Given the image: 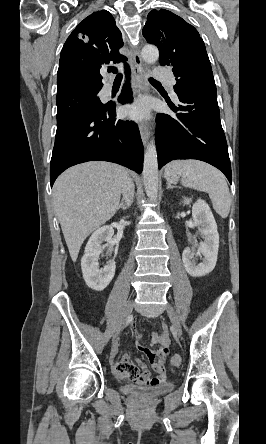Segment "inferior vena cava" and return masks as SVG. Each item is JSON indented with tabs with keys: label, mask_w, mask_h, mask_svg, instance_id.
Listing matches in <instances>:
<instances>
[{
	"label": "inferior vena cava",
	"mask_w": 266,
	"mask_h": 444,
	"mask_svg": "<svg viewBox=\"0 0 266 444\" xmlns=\"http://www.w3.org/2000/svg\"><path fill=\"white\" fill-rule=\"evenodd\" d=\"M121 193L123 195V203L127 206V208L130 207L133 203L134 184L128 176H126L123 181Z\"/></svg>",
	"instance_id": "1"
}]
</instances>
